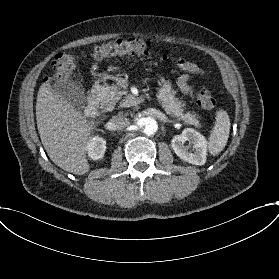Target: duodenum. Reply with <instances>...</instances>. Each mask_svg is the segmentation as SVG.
<instances>
[{"label": "duodenum", "instance_id": "1", "mask_svg": "<svg viewBox=\"0 0 279 279\" xmlns=\"http://www.w3.org/2000/svg\"><path fill=\"white\" fill-rule=\"evenodd\" d=\"M126 101L130 104H136L140 102V97L134 95H127ZM99 113L98 102L95 99H90L85 107V114L88 117H95Z\"/></svg>", "mask_w": 279, "mask_h": 279}]
</instances>
